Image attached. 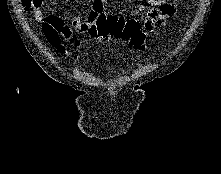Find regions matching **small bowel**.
<instances>
[{
    "instance_id": "c3829d8e",
    "label": "small bowel",
    "mask_w": 221,
    "mask_h": 174,
    "mask_svg": "<svg viewBox=\"0 0 221 174\" xmlns=\"http://www.w3.org/2000/svg\"><path fill=\"white\" fill-rule=\"evenodd\" d=\"M113 0H92L91 9L86 17L76 16L71 21V26L65 24L64 20L56 15L44 16L41 3L34 9V19L42 23V30L51 45L58 51L64 52V46L59 42L62 35L73 44H78L73 31L84 34L96 22L97 18L105 15L107 5L113 4ZM145 13L143 29L146 33H152L157 27L165 26L175 13V6L168 0H143L134 10L128 13L129 16H137ZM134 19V18H132Z\"/></svg>"
}]
</instances>
